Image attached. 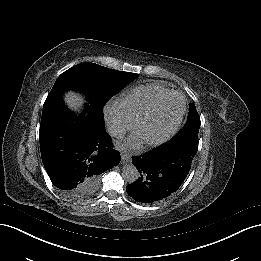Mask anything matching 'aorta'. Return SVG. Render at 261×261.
I'll return each instance as SVG.
<instances>
[{
	"instance_id": "obj_1",
	"label": "aorta",
	"mask_w": 261,
	"mask_h": 261,
	"mask_svg": "<svg viewBox=\"0 0 261 261\" xmlns=\"http://www.w3.org/2000/svg\"><path fill=\"white\" fill-rule=\"evenodd\" d=\"M122 177L127 183L131 184L138 180L140 173L135 165L129 163L123 166Z\"/></svg>"
}]
</instances>
